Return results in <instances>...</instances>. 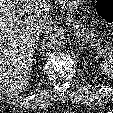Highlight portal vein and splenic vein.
Here are the masks:
<instances>
[{
  "mask_svg": "<svg viewBox=\"0 0 113 113\" xmlns=\"http://www.w3.org/2000/svg\"><path fill=\"white\" fill-rule=\"evenodd\" d=\"M18 13H19V16H20V19L24 17L25 15V11H23L20 7H18ZM92 46H94V44H92ZM101 50V48H99ZM103 51V50H101Z\"/></svg>",
  "mask_w": 113,
  "mask_h": 113,
  "instance_id": "1",
  "label": "portal vein and splenic vein"
}]
</instances>
